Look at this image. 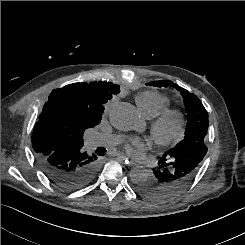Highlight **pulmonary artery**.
Masks as SVG:
<instances>
[{
  "mask_svg": "<svg viewBox=\"0 0 245 245\" xmlns=\"http://www.w3.org/2000/svg\"><path fill=\"white\" fill-rule=\"evenodd\" d=\"M120 142V137L113 134L95 133L88 138L90 147H112Z\"/></svg>",
  "mask_w": 245,
  "mask_h": 245,
  "instance_id": "obj_1",
  "label": "pulmonary artery"
}]
</instances>
